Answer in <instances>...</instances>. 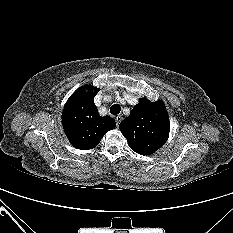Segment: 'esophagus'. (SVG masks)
Returning a JSON list of instances; mask_svg holds the SVG:
<instances>
[{"label": "esophagus", "instance_id": "esophagus-1", "mask_svg": "<svg viewBox=\"0 0 233 233\" xmlns=\"http://www.w3.org/2000/svg\"><path fill=\"white\" fill-rule=\"evenodd\" d=\"M121 120H122V116H121V115H117V116L115 117V121H116L117 126H119Z\"/></svg>", "mask_w": 233, "mask_h": 233}]
</instances>
